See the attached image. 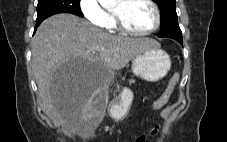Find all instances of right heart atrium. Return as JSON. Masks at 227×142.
Instances as JSON below:
<instances>
[{
  "mask_svg": "<svg viewBox=\"0 0 227 142\" xmlns=\"http://www.w3.org/2000/svg\"><path fill=\"white\" fill-rule=\"evenodd\" d=\"M79 8L82 15L92 24L103 27L107 12L102 8L98 0H80Z\"/></svg>",
  "mask_w": 227,
  "mask_h": 142,
  "instance_id": "obj_1",
  "label": "right heart atrium"
}]
</instances>
